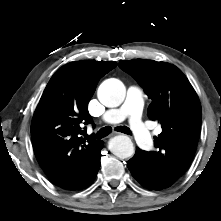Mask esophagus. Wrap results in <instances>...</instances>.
Segmentation results:
<instances>
[{"instance_id":"esophagus-1","label":"esophagus","mask_w":221,"mask_h":221,"mask_svg":"<svg viewBox=\"0 0 221 221\" xmlns=\"http://www.w3.org/2000/svg\"><path fill=\"white\" fill-rule=\"evenodd\" d=\"M115 134H117V135H121V133H115Z\"/></svg>"}]
</instances>
